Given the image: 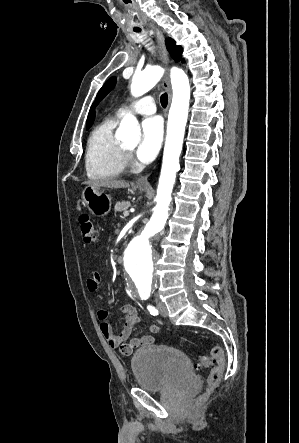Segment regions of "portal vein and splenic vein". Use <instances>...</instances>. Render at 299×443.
Wrapping results in <instances>:
<instances>
[{"mask_svg": "<svg viewBox=\"0 0 299 443\" xmlns=\"http://www.w3.org/2000/svg\"><path fill=\"white\" fill-rule=\"evenodd\" d=\"M123 216H124V217H128V216H129V212H128V211H125V212L123 213Z\"/></svg>", "mask_w": 299, "mask_h": 443, "instance_id": "portal-vein-and-splenic-vein-1", "label": "portal vein and splenic vein"}]
</instances>
